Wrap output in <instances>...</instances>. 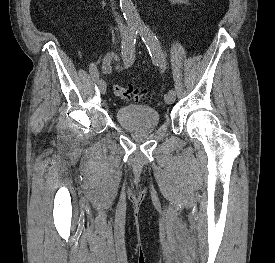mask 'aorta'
<instances>
[{"instance_id": "762f6f07", "label": "aorta", "mask_w": 275, "mask_h": 263, "mask_svg": "<svg viewBox=\"0 0 275 263\" xmlns=\"http://www.w3.org/2000/svg\"><path fill=\"white\" fill-rule=\"evenodd\" d=\"M120 8L128 26L135 29H142L144 30L145 36L152 37L151 33L145 29V26L132 0H120Z\"/></svg>"}]
</instances>
